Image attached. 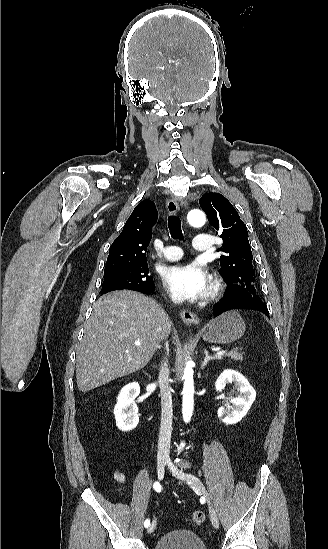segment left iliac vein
<instances>
[{"mask_svg": "<svg viewBox=\"0 0 328 549\" xmlns=\"http://www.w3.org/2000/svg\"><path fill=\"white\" fill-rule=\"evenodd\" d=\"M168 465H169V470L173 473V475L176 478L185 481L196 492H200V493L203 494V496L206 498V501L208 503L211 523H212L213 527L217 529L219 527V520H218V517H217V514H216V510H215L214 506L212 505V503L210 501L209 494L207 493V490L204 487L203 483L197 477H195L193 475H190V474H186L183 471L179 470L172 463H169Z\"/></svg>", "mask_w": 328, "mask_h": 549, "instance_id": "left-iliac-vein-1", "label": "left iliac vein"}]
</instances>
